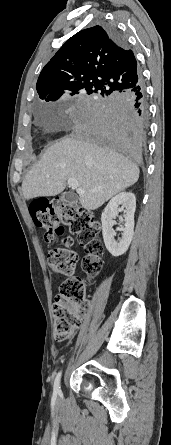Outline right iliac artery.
Returning <instances> with one entry per match:
<instances>
[{"instance_id":"1","label":"right iliac artery","mask_w":171,"mask_h":445,"mask_svg":"<svg viewBox=\"0 0 171 445\" xmlns=\"http://www.w3.org/2000/svg\"><path fill=\"white\" fill-rule=\"evenodd\" d=\"M60 378H61V372H59L56 376V379L54 381V393H60Z\"/></svg>"}]
</instances>
